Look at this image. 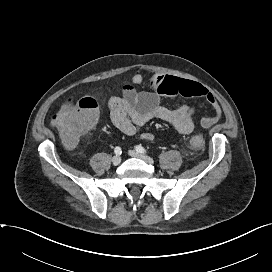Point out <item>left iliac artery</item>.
<instances>
[{
  "label": "left iliac artery",
  "instance_id": "obj_1",
  "mask_svg": "<svg viewBox=\"0 0 272 272\" xmlns=\"http://www.w3.org/2000/svg\"><path fill=\"white\" fill-rule=\"evenodd\" d=\"M136 151L139 153H146V149L144 147H142L141 145H137L135 147Z\"/></svg>",
  "mask_w": 272,
  "mask_h": 272
}]
</instances>
